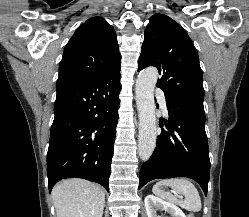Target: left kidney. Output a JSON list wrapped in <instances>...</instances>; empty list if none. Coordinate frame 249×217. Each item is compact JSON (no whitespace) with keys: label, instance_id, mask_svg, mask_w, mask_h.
Returning <instances> with one entry per match:
<instances>
[{"label":"left kidney","instance_id":"left-kidney-1","mask_svg":"<svg viewBox=\"0 0 249 217\" xmlns=\"http://www.w3.org/2000/svg\"><path fill=\"white\" fill-rule=\"evenodd\" d=\"M145 209L148 217H159L157 216L158 210H164L172 217H186L183 211L176 205L166 202L153 194H149L145 197Z\"/></svg>","mask_w":249,"mask_h":217}]
</instances>
